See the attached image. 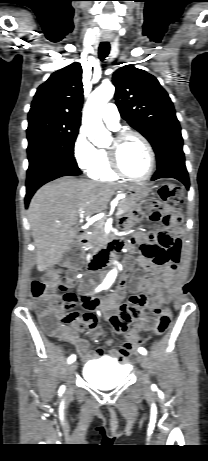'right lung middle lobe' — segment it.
<instances>
[{
    "instance_id": "dd1d6c3e",
    "label": "right lung middle lobe",
    "mask_w": 208,
    "mask_h": 461,
    "mask_svg": "<svg viewBox=\"0 0 208 461\" xmlns=\"http://www.w3.org/2000/svg\"><path fill=\"white\" fill-rule=\"evenodd\" d=\"M79 123L61 119L29 118L27 128L29 168L48 159H60L77 166L74 142Z\"/></svg>"
}]
</instances>
